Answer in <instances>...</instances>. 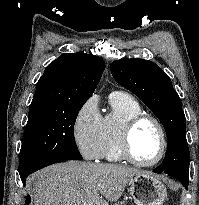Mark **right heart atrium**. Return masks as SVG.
Listing matches in <instances>:
<instances>
[{"label": "right heart atrium", "mask_w": 199, "mask_h": 205, "mask_svg": "<svg viewBox=\"0 0 199 205\" xmlns=\"http://www.w3.org/2000/svg\"><path fill=\"white\" fill-rule=\"evenodd\" d=\"M102 118L96 97L80 107L73 124V137L77 149L87 160H98L102 155Z\"/></svg>", "instance_id": "right-heart-atrium-1"}]
</instances>
